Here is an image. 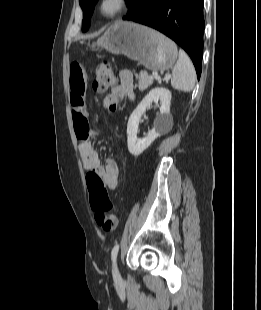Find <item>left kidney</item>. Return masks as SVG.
<instances>
[{
  "instance_id": "left-kidney-1",
  "label": "left kidney",
  "mask_w": 261,
  "mask_h": 310,
  "mask_svg": "<svg viewBox=\"0 0 261 310\" xmlns=\"http://www.w3.org/2000/svg\"><path fill=\"white\" fill-rule=\"evenodd\" d=\"M160 102V114L154 121V127L146 137H137L138 126L142 115L152 103ZM171 92L164 87L152 89L139 103L129 117L127 124L128 150L133 156H139L152 142L172 124L170 115Z\"/></svg>"
}]
</instances>
